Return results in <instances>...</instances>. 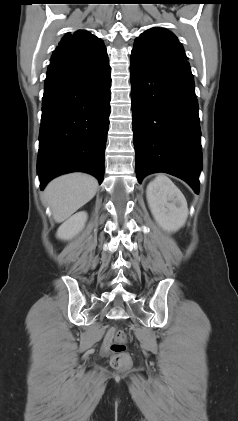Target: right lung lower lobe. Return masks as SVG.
<instances>
[{"label": "right lung lower lobe", "instance_id": "98d812e1", "mask_svg": "<svg viewBox=\"0 0 238 421\" xmlns=\"http://www.w3.org/2000/svg\"><path fill=\"white\" fill-rule=\"evenodd\" d=\"M110 73L108 57L48 66L37 161L41 190L51 179L75 171L102 182Z\"/></svg>", "mask_w": 238, "mask_h": 421}]
</instances>
